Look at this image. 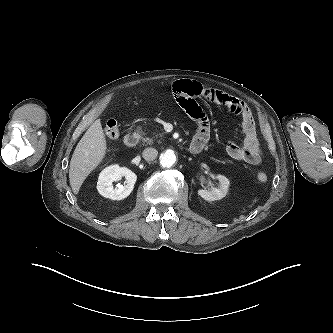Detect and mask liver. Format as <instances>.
<instances>
[{
	"label": "liver",
	"instance_id": "6515ba94",
	"mask_svg": "<svg viewBox=\"0 0 333 333\" xmlns=\"http://www.w3.org/2000/svg\"><path fill=\"white\" fill-rule=\"evenodd\" d=\"M106 139L100 119L85 132L70 161L69 180L74 194H78L87 176L101 163L106 154Z\"/></svg>",
	"mask_w": 333,
	"mask_h": 333
}]
</instances>
